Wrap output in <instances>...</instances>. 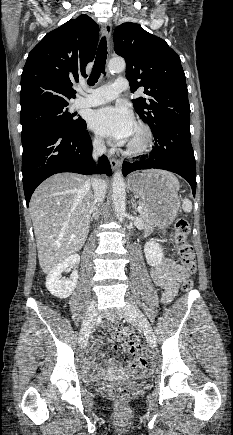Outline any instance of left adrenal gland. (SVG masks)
<instances>
[{
	"instance_id": "1",
	"label": "left adrenal gland",
	"mask_w": 233,
	"mask_h": 435,
	"mask_svg": "<svg viewBox=\"0 0 233 435\" xmlns=\"http://www.w3.org/2000/svg\"><path fill=\"white\" fill-rule=\"evenodd\" d=\"M131 202H132V208H133L135 211H137V204H136V202L134 201L133 198L131 199Z\"/></svg>"
}]
</instances>
